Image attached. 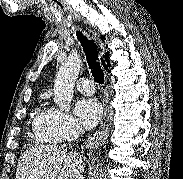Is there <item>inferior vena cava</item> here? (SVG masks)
<instances>
[{"instance_id": "602c4592", "label": "inferior vena cava", "mask_w": 183, "mask_h": 179, "mask_svg": "<svg viewBox=\"0 0 183 179\" xmlns=\"http://www.w3.org/2000/svg\"><path fill=\"white\" fill-rule=\"evenodd\" d=\"M79 136V131L76 129H72L70 131L69 137H68V141H74L76 138H78ZM62 147H66V144H64ZM84 171V166L80 160L79 162V167L78 170L76 171L75 175H74V179H84L82 172Z\"/></svg>"}]
</instances>
